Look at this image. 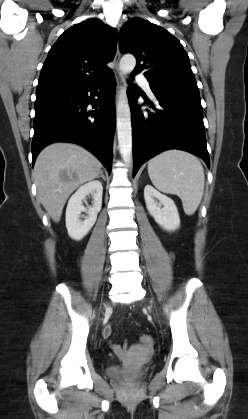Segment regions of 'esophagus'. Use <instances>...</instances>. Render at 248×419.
I'll use <instances>...</instances> for the list:
<instances>
[{
	"label": "esophagus",
	"instance_id": "34e87169",
	"mask_svg": "<svg viewBox=\"0 0 248 419\" xmlns=\"http://www.w3.org/2000/svg\"><path fill=\"white\" fill-rule=\"evenodd\" d=\"M118 32L120 30V24H118L117 26ZM120 57H121V53H120V48H119V39L117 42V49H116V54L114 57V74H115V78H116V83H117V96L119 95L120 91L125 87V80L124 77L119 69V61H120Z\"/></svg>",
	"mask_w": 248,
	"mask_h": 419
}]
</instances>
